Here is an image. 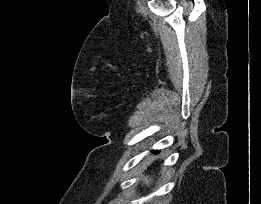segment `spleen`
<instances>
[{
	"mask_svg": "<svg viewBox=\"0 0 261 204\" xmlns=\"http://www.w3.org/2000/svg\"><path fill=\"white\" fill-rule=\"evenodd\" d=\"M144 181L147 183V178H144Z\"/></svg>",
	"mask_w": 261,
	"mask_h": 204,
	"instance_id": "spleen-1",
	"label": "spleen"
}]
</instances>
